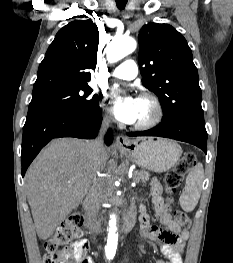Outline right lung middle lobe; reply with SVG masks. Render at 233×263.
I'll return each mask as SVG.
<instances>
[{
	"instance_id": "dd1d6c3e",
	"label": "right lung middle lobe",
	"mask_w": 233,
	"mask_h": 263,
	"mask_svg": "<svg viewBox=\"0 0 233 263\" xmlns=\"http://www.w3.org/2000/svg\"><path fill=\"white\" fill-rule=\"evenodd\" d=\"M92 89L88 84L58 89L32 95L26 122L59 114L81 112L94 107L98 97H90Z\"/></svg>"
}]
</instances>
